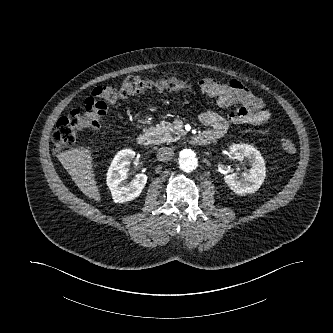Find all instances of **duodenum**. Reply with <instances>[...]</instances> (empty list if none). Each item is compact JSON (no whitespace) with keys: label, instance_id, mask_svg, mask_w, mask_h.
<instances>
[{"label":"duodenum","instance_id":"obj_1","mask_svg":"<svg viewBox=\"0 0 333 333\" xmlns=\"http://www.w3.org/2000/svg\"><path fill=\"white\" fill-rule=\"evenodd\" d=\"M212 140L213 136L208 132H201L193 138V142L199 146L208 145ZM137 142L144 147L150 146L154 142V136L147 132L141 133L137 136Z\"/></svg>","mask_w":333,"mask_h":333}]
</instances>
